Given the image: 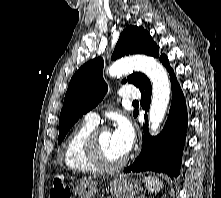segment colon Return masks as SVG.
Instances as JSON below:
<instances>
[{
	"label": "colon",
	"mask_w": 221,
	"mask_h": 198,
	"mask_svg": "<svg viewBox=\"0 0 221 198\" xmlns=\"http://www.w3.org/2000/svg\"><path fill=\"white\" fill-rule=\"evenodd\" d=\"M50 198H71L70 187L62 175L53 177Z\"/></svg>",
	"instance_id": "1"
}]
</instances>
